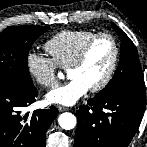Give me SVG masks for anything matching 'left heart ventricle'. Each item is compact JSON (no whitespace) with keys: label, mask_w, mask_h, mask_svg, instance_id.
<instances>
[{"label":"left heart ventricle","mask_w":147,"mask_h":147,"mask_svg":"<svg viewBox=\"0 0 147 147\" xmlns=\"http://www.w3.org/2000/svg\"><path fill=\"white\" fill-rule=\"evenodd\" d=\"M113 52L112 42L108 38L97 40L83 65L67 72L68 78L80 79L89 88L95 86L106 75L113 59Z\"/></svg>","instance_id":"left-heart-ventricle-1"}]
</instances>
